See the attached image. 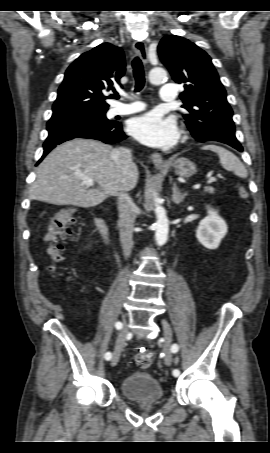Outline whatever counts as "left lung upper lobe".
<instances>
[{"mask_svg":"<svg viewBox=\"0 0 270 453\" xmlns=\"http://www.w3.org/2000/svg\"><path fill=\"white\" fill-rule=\"evenodd\" d=\"M158 52L172 78L184 84L180 94L184 118L193 137L205 141H237L232 109L208 54L189 40L168 35Z\"/></svg>","mask_w":270,"mask_h":453,"instance_id":"obj_1","label":"left lung upper lobe"}]
</instances>
